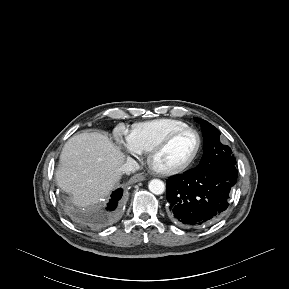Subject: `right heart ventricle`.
<instances>
[{
	"label": "right heart ventricle",
	"mask_w": 289,
	"mask_h": 289,
	"mask_svg": "<svg viewBox=\"0 0 289 289\" xmlns=\"http://www.w3.org/2000/svg\"><path fill=\"white\" fill-rule=\"evenodd\" d=\"M184 127H188V125L180 120L170 118L155 119L136 124L128 137L136 150L140 153H145L149 152L168 133Z\"/></svg>",
	"instance_id": "right-heart-ventricle-1"
}]
</instances>
